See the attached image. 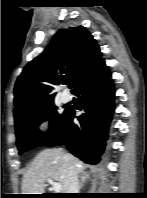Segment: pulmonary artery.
I'll use <instances>...</instances> for the list:
<instances>
[{
    "label": "pulmonary artery",
    "instance_id": "obj_1",
    "mask_svg": "<svg viewBox=\"0 0 147 198\" xmlns=\"http://www.w3.org/2000/svg\"><path fill=\"white\" fill-rule=\"evenodd\" d=\"M60 98L63 103H67L71 100V95L68 92H62Z\"/></svg>",
    "mask_w": 147,
    "mask_h": 198
}]
</instances>
